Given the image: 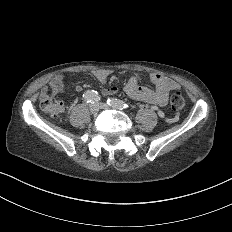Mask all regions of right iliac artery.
I'll return each mask as SVG.
<instances>
[{
  "instance_id": "82829eb1",
  "label": "right iliac artery",
  "mask_w": 232,
  "mask_h": 232,
  "mask_svg": "<svg viewBox=\"0 0 232 232\" xmlns=\"http://www.w3.org/2000/svg\"><path fill=\"white\" fill-rule=\"evenodd\" d=\"M82 99L87 103H96L100 100V96L95 90H87L83 93Z\"/></svg>"
}]
</instances>
